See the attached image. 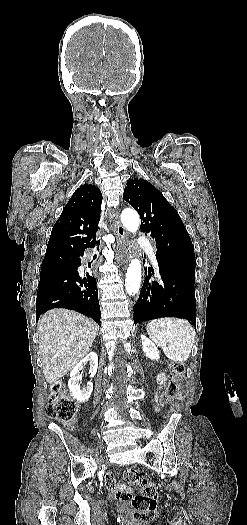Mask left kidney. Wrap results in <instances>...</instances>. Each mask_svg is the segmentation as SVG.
I'll return each instance as SVG.
<instances>
[{
  "instance_id": "1",
  "label": "left kidney",
  "mask_w": 247,
  "mask_h": 525,
  "mask_svg": "<svg viewBox=\"0 0 247 525\" xmlns=\"http://www.w3.org/2000/svg\"><path fill=\"white\" fill-rule=\"evenodd\" d=\"M140 339L142 341V351H144L146 357H148V359H152V361H157V359H160L159 351L156 345H154L150 339H147L145 335H140Z\"/></svg>"
}]
</instances>
